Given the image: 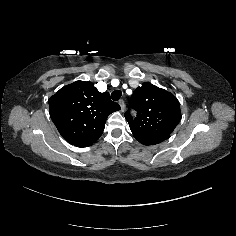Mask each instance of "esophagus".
Instances as JSON below:
<instances>
[{
    "label": "esophagus",
    "mask_w": 236,
    "mask_h": 236,
    "mask_svg": "<svg viewBox=\"0 0 236 236\" xmlns=\"http://www.w3.org/2000/svg\"><path fill=\"white\" fill-rule=\"evenodd\" d=\"M119 105H120V107H121V112H124V106H125V104H124V101L121 99V100H119Z\"/></svg>",
    "instance_id": "esophagus-1"
}]
</instances>
